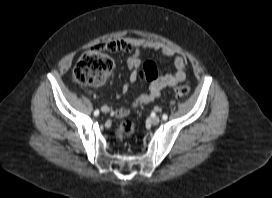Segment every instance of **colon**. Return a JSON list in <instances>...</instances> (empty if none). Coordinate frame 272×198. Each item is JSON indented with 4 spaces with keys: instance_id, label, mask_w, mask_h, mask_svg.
<instances>
[{
    "instance_id": "5ec220e1",
    "label": "colon",
    "mask_w": 272,
    "mask_h": 198,
    "mask_svg": "<svg viewBox=\"0 0 272 198\" xmlns=\"http://www.w3.org/2000/svg\"><path fill=\"white\" fill-rule=\"evenodd\" d=\"M103 50L106 49H94L81 55L72 73V78L75 83L82 86L98 85L113 71L114 61ZM141 74L150 76L157 74L155 64L151 61L145 62ZM189 91L188 86H177L174 88V93L180 97L188 95ZM134 132V124L126 120L119 126L117 137L122 140L132 136Z\"/></svg>"
}]
</instances>
